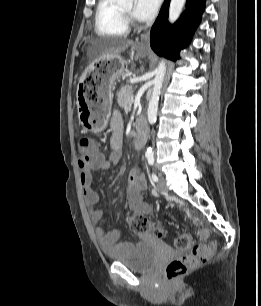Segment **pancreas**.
<instances>
[{
	"label": "pancreas",
	"mask_w": 261,
	"mask_h": 306,
	"mask_svg": "<svg viewBox=\"0 0 261 306\" xmlns=\"http://www.w3.org/2000/svg\"><path fill=\"white\" fill-rule=\"evenodd\" d=\"M118 105L122 108H128L131 105V98L133 97V89L131 86H123L117 93Z\"/></svg>",
	"instance_id": "1"
}]
</instances>
